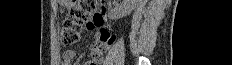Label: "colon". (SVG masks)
Returning <instances> with one entry per match:
<instances>
[{"mask_svg":"<svg viewBox=\"0 0 232 65\" xmlns=\"http://www.w3.org/2000/svg\"><path fill=\"white\" fill-rule=\"evenodd\" d=\"M98 5L96 0H77L70 8L65 18L61 30V42L63 46L68 47L75 44L80 37L82 25L87 21ZM106 37H97L93 45V62H102L106 49L114 41L112 36L109 41H105Z\"/></svg>","mask_w":232,"mask_h":65,"instance_id":"colon-1","label":"colon"}]
</instances>
